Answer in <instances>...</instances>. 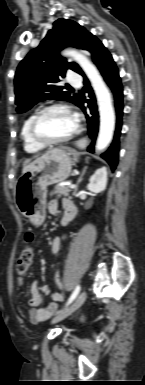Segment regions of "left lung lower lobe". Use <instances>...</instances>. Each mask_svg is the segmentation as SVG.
I'll use <instances>...</instances> for the list:
<instances>
[{
    "label": "left lung lower lobe",
    "mask_w": 145,
    "mask_h": 385,
    "mask_svg": "<svg viewBox=\"0 0 145 385\" xmlns=\"http://www.w3.org/2000/svg\"><path fill=\"white\" fill-rule=\"evenodd\" d=\"M88 51L91 53L94 63L98 66L102 76L104 77L107 84L110 86L114 93L115 98V108L117 112V128L115 130V135L111 146L108 150L101 154V157L107 161V163L111 166V169L114 170L118 163V153H119V135L121 131L122 124V110H123V92L122 85L120 82L119 73L115 62L112 59V56L107 51V49L103 46V44L93 36ZM84 77V90L89 93L90 99L87 100L88 109L84 107V100L82 99L79 107L85 113L87 123H88V134L90 138L93 140L90 146L88 147L89 152H94V142L98 133V125H99V115L97 111L96 100L94 97L93 90L90 86V83L82 70L79 72Z\"/></svg>",
    "instance_id": "0a47b994"
}]
</instances>
